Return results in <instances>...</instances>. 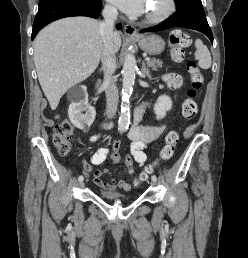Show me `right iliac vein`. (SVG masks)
<instances>
[{"label": "right iliac vein", "instance_id": "obj_1", "mask_svg": "<svg viewBox=\"0 0 248 258\" xmlns=\"http://www.w3.org/2000/svg\"><path fill=\"white\" fill-rule=\"evenodd\" d=\"M80 187H83L84 186V182L81 181L80 184H79Z\"/></svg>", "mask_w": 248, "mask_h": 258}]
</instances>
